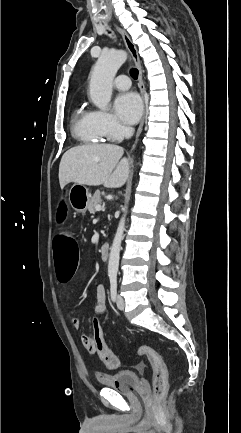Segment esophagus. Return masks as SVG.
Segmentation results:
<instances>
[{"label":"esophagus","instance_id":"34e87169","mask_svg":"<svg viewBox=\"0 0 241 433\" xmlns=\"http://www.w3.org/2000/svg\"><path fill=\"white\" fill-rule=\"evenodd\" d=\"M118 32L121 34L123 41L125 43V46L127 48V50L129 51L130 55L133 58V61L138 69L139 72V76H138V85L140 88V92H141V96L143 99V116L142 119L140 121L137 133H136V140L135 143L138 140L139 135L142 132V128H143V124H144V120H145V115H146V100H145V86H144V82H143V75H142V67H141V62L138 56V52L136 49V46L134 45V43L132 42L131 38L129 37V35L127 34V32L119 27H116ZM135 144L133 145L132 149L134 148Z\"/></svg>","mask_w":241,"mask_h":433}]
</instances>
